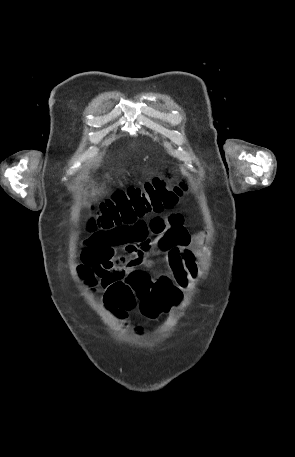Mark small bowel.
Masks as SVG:
<instances>
[{
  "label": "small bowel",
  "mask_w": 295,
  "mask_h": 457,
  "mask_svg": "<svg viewBox=\"0 0 295 457\" xmlns=\"http://www.w3.org/2000/svg\"><path fill=\"white\" fill-rule=\"evenodd\" d=\"M203 239L202 233H189L184 226V216L179 212H173L164 217L139 219L129 226L97 230L85 239L80 257L83 264L93 266V263L103 262L108 256L113 255L117 247H124L126 252L129 247H135L138 251L131 255L125 267L127 276L133 271L146 272L141 267L152 266L150 256L162 253L168 270L152 278L154 282L171 280L176 290L175 303L180 299L183 290L198 275L202 257L198 247ZM101 285L107 288L103 281Z\"/></svg>",
  "instance_id": "small-bowel-1"
}]
</instances>
